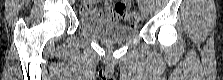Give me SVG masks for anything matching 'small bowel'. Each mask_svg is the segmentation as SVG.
I'll list each match as a JSON object with an SVG mask.
<instances>
[{"instance_id": "c3829d8e", "label": "small bowel", "mask_w": 223, "mask_h": 80, "mask_svg": "<svg viewBox=\"0 0 223 80\" xmlns=\"http://www.w3.org/2000/svg\"><path fill=\"white\" fill-rule=\"evenodd\" d=\"M81 13L87 17L107 19L111 21H117L121 18L115 11V6L112 7L111 2H107L104 8H95L92 4L87 3L82 7Z\"/></svg>"}]
</instances>
